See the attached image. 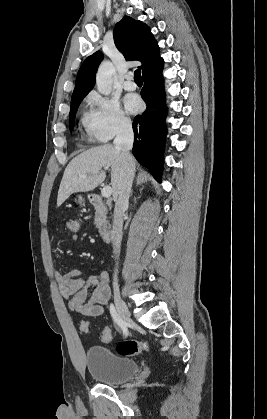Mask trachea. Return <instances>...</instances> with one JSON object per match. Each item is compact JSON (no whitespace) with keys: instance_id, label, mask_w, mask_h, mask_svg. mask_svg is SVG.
Instances as JSON below:
<instances>
[{"instance_id":"trachea-1","label":"trachea","mask_w":267,"mask_h":419,"mask_svg":"<svg viewBox=\"0 0 267 419\" xmlns=\"http://www.w3.org/2000/svg\"><path fill=\"white\" fill-rule=\"evenodd\" d=\"M134 79L135 81H142L141 70L137 69L134 72Z\"/></svg>"}]
</instances>
